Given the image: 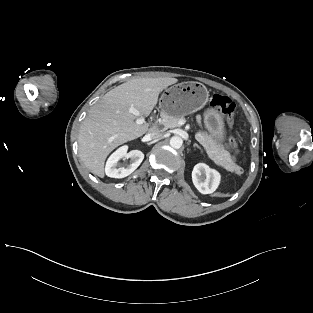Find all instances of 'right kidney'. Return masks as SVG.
Listing matches in <instances>:
<instances>
[{
	"mask_svg": "<svg viewBox=\"0 0 313 313\" xmlns=\"http://www.w3.org/2000/svg\"><path fill=\"white\" fill-rule=\"evenodd\" d=\"M128 146H122L116 150L107 160L105 166V173L111 178H124L134 172L144 159L143 152L139 150H132L127 153ZM129 159L130 163L125 166H120L118 161L120 159Z\"/></svg>",
	"mask_w": 313,
	"mask_h": 313,
	"instance_id": "right-kidney-1",
	"label": "right kidney"
}]
</instances>
